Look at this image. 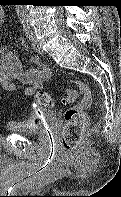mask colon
<instances>
[{
  "label": "colon",
  "instance_id": "5ec220e1",
  "mask_svg": "<svg viewBox=\"0 0 121 197\" xmlns=\"http://www.w3.org/2000/svg\"><path fill=\"white\" fill-rule=\"evenodd\" d=\"M67 84L75 86L82 97L78 103L70 106L64 113L65 124L62 129L61 143L67 152L76 149L86 126L84 111L92 105V93L87 84L77 79H70ZM78 97L75 89L67 87L65 96L61 99L62 104L73 103ZM37 105L41 107H53L56 101L46 92L39 91L35 95Z\"/></svg>",
  "mask_w": 121,
  "mask_h": 197
}]
</instances>
